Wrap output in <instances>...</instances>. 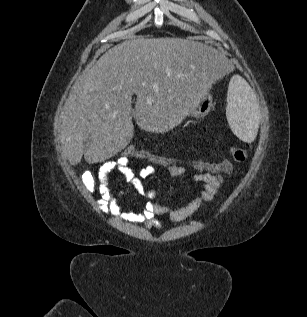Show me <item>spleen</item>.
I'll use <instances>...</instances> for the list:
<instances>
[{
	"label": "spleen",
	"mask_w": 307,
	"mask_h": 317,
	"mask_svg": "<svg viewBox=\"0 0 307 317\" xmlns=\"http://www.w3.org/2000/svg\"><path fill=\"white\" fill-rule=\"evenodd\" d=\"M227 120L233 133L250 143L257 135L260 112L255 93L238 76L232 77L228 91Z\"/></svg>",
	"instance_id": "3e777b00"
}]
</instances>
